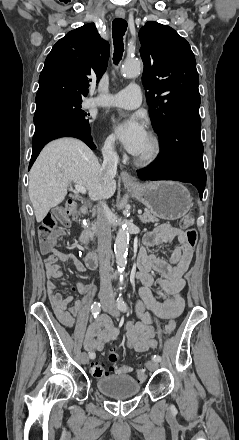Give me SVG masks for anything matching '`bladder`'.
I'll use <instances>...</instances> for the list:
<instances>
[{"label":"bladder","mask_w":239,"mask_h":440,"mask_svg":"<svg viewBox=\"0 0 239 440\" xmlns=\"http://www.w3.org/2000/svg\"><path fill=\"white\" fill-rule=\"evenodd\" d=\"M97 390L111 398H130L141 390L138 380L130 375L103 376L95 382Z\"/></svg>","instance_id":"1"}]
</instances>
